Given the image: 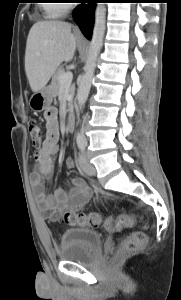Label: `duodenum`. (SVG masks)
<instances>
[{"instance_id":"duodenum-1","label":"duodenum","mask_w":181,"mask_h":300,"mask_svg":"<svg viewBox=\"0 0 181 300\" xmlns=\"http://www.w3.org/2000/svg\"><path fill=\"white\" fill-rule=\"evenodd\" d=\"M67 130L72 132L75 128V115L71 109H69L66 117Z\"/></svg>"}]
</instances>
